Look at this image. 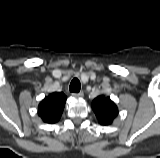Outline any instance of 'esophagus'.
Listing matches in <instances>:
<instances>
[{
    "label": "esophagus",
    "mask_w": 160,
    "mask_h": 158,
    "mask_svg": "<svg viewBox=\"0 0 160 158\" xmlns=\"http://www.w3.org/2000/svg\"><path fill=\"white\" fill-rule=\"evenodd\" d=\"M72 96L75 98H80L83 96V92H78V93H72Z\"/></svg>",
    "instance_id": "obj_1"
}]
</instances>
